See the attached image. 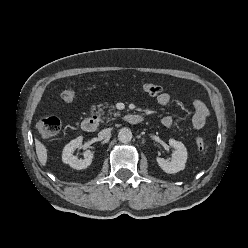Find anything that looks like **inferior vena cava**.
<instances>
[{
    "mask_svg": "<svg viewBox=\"0 0 248 248\" xmlns=\"http://www.w3.org/2000/svg\"><path fill=\"white\" fill-rule=\"evenodd\" d=\"M111 131H112L111 128H106V129L101 130L98 133V138L102 140V139L108 137L111 134Z\"/></svg>",
    "mask_w": 248,
    "mask_h": 248,
    "instance_id": "602c4592",
    "label": "inferior vena cava"
}]
</instances>
